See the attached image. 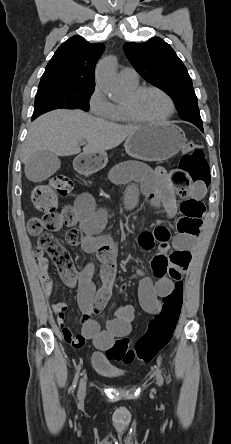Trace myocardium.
<instances>
[{"label": "myocardium", "instance_id": "myocardium-1", "mask_svg": "<svg viewBox=\"0 0 231 444\" xmlns=\"http://www.w3.org/2000/svg\"><path fill=\"white\" fill-rule=\"evenodd\" d=\"M146 91H156V92L162 94L167 99L170 109H169V112L166 116H164L163 118H161L159 120H146V119L141 118L137 114L136 109H135V102ZM124 109H125V112L131 122L138 123V124L158 125V124H162L164 122H167L168 120H170L173 117V115L176 111V106H175V102H174L173 98L164 89H162L158 86H154V85H145V86L137 87L136 89L129 92L128 100L124 102Z\"/></svg>", "mask_w": 231, "mask_h": 444}]
</instances>
